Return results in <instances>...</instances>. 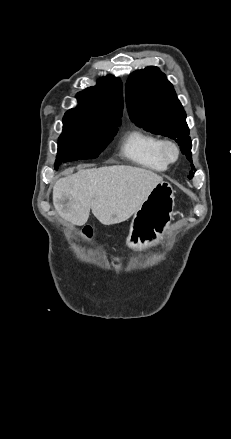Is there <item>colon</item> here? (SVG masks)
<instances>
[{
  "label": "colon",
  "instance_id": "5ec220e1",
  "mask_svg": "<svg viewBox=\"0 0 231 439\" xmlns=\"http://www.w3.org/2000/svg\"><path fill=\"white\" fill-rule=\"evenodd\" d=\"M83 234H84L85 237L90 238L91 235H92V230L90 228H85L83 230Z\"/></svg>",
  "mask_w": 231,
  "mask_h": 439
}]
</instances>
